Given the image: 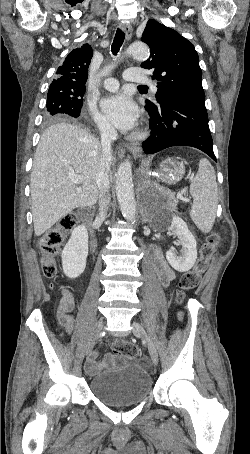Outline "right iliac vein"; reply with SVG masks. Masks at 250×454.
Listing matches in <instances>:
<instances>
[{
	"mask_svg": "<svg viewBox=\"0 0 250 454\" xmlns=\"http://www.w3.org/2000/svg\"><path fill=\"white\" fill-rule=\"evenodd\" d=\"M103 324H104L103 320H99L96 322V324L94 326L92 337L88 343L87 354L94 348L99 336L101 335Z\"/></svg>",
	"mask_w": 250,
	"mask_h": 454,
	"instance_id": "1",
	"label": "right iliac vein"
}]
</instances>
